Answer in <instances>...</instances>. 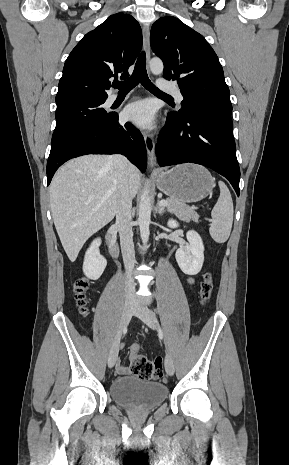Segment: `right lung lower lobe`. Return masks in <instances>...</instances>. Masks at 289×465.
<instances>
[{
  "mask_svg": "<svg viewBox=\"0 0 289 465\" xmlns=\"http://www.w3.org/2000/svg\"><path fill=\"white\" fill-rule=\"evenodd\" d=\"M125 155L142 172L147 165L146 147L141 133L129 122L118 123V114L103 122L77 129L51 143L47 161V185L56 170L67 160L86 154Z\"/></svg>",
  "mask_w": 289,
  "mask_h": 465,
  "instance_id": "98d812e1",
  "label": "right lung lower lobe"
}]
</instances>
